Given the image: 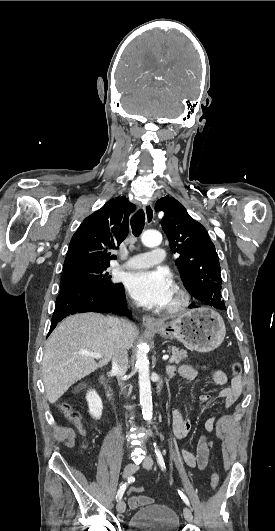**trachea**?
I'll return each mask as SVG.
<instances>
[{"label":"trachea","mask_w":275,"mask_h":531,"mask_svg":"<svg viewBox=\"0 0 275 531\" xmlns=\"http://www.w3.org/2000/svg\"><path fill=\"white\" fill-rule=\"evenodd\" d=\"M145 226V214L142 209L137 211L131 218V228L134 236H139Z\"/></svg>","instance_id":"trachea-1"}]
</instances>
